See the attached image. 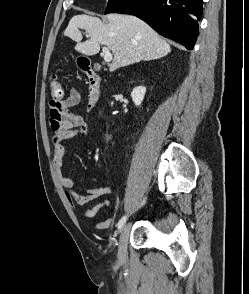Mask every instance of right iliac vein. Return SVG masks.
Segmentation results:
<instances>
[{
  "label": "right iliac vein",
  "mask_w": 249,
  "mask_h": 294,
  "mask_svg": "<svg viewBox=\"0 0 249 294\" xmlns=\"http://www.w3.org/2000/svg\"><path fill=\"white\" fill-rule=\"evenodd\" d=\"M130 232V224H125L120 233L119 238V250H118V257L119 260L124 262L127 259V242Z\"/></svg>",
  "instance_id": "63e3f726"
}]
</instances>
